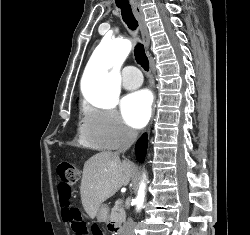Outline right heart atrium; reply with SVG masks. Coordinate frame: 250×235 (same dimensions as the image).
<instances>
[{"label": "right heart atrium", "instance_id": "obj_1", "mask_svg": "<svg viewBox=\"0 0 250 235\" xmlns=\"http://www.w3.org/2000/svg\"><path fill=\"white\" fill-rule=\"evenodd\" d=\"M81 140L94 148L116 150L136 139V132L128 127L113 108L86 106L79 125Z\"/></svg>", "mask_w": 250, "mask_h": 235}]
</instances>
